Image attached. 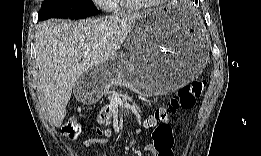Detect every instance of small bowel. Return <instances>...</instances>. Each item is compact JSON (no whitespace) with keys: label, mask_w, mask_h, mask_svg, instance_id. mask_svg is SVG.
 Segmentation results:
<instances>
[{"label":"small bowel","mask_w":261,"mask_h":156,"mask_svg":"<svg viewBox=\"0 0 261 156\" xmlns=\"http://www.w3.org/2000/svg\"><path fill=\"white\" fill-rule=\"evenodd\" d=\"M172 131V139L173 143L175 141L176 135H177V127H171ZM107 143V140L104 138H88L83 141L82 146L85 148L91 147L93 145H105ZM143 156H163L160 154L159 150L156 148L154 141L151 144H148L144 147L142 151ZM170 156V155H165Z\"/></svg>","instance_id":"small-bowel-1"}]
</instances>
